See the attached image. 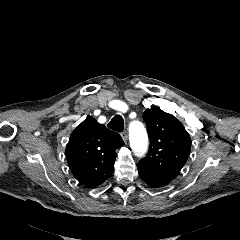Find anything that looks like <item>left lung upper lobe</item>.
Segmentation results:
<instances>
[{
    "label": "left lung upper lobe",
    "mask_w": 240,
    "mask_h": 240,
    "mask_svg": "<svg viewBox=\"0 0 240 240\" xmlns=\"http://www.w3.org/2000/svg\"><path fill=\"white\" fill-rule=\"evenodd\" d=\"M143 119L150 139L148 155L142 164L169 180H174L187 161L191 139L181 122L159 107L147 109Z\"/></svg>",
    "instance_id": "5c2ea615"
}]
</instances>
